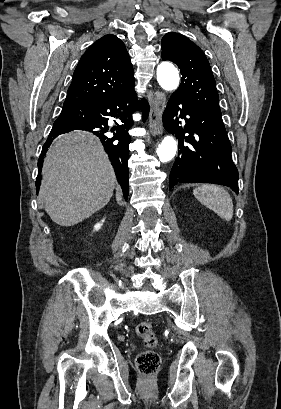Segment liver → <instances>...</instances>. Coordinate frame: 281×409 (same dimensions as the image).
Returning <instances> with one entry per match:
<instances>
[{"label": "liver", "instance_id": "1", "mask_svg": "<svg viewBox=\"0 0 281 409\" xmlns=\"http://www.w3.org/2000/svg\"><path fill=\"white\" fill-rule=\"evenodd\" d=\"M40 196L54 223L73 227L109 202L116 182L95 134L75 130L54 142L43 164Z\"/></svg>", "mask_w": 281, "mask_h": 409}]
</instances>
